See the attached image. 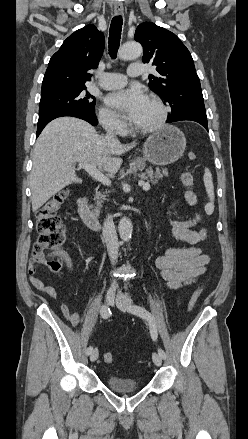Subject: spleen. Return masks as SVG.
<instances>
[{
	"instance_id": "1",
	"label": "spleen",
	"mask_w": 248,
	"mask_h": 439,
	"mask_svg": "<svg viewBox=\"0 0 248 439\" xmlns=\"http://www.w3.org/2000/svg\"><path fill=\"white\" fill-rule=\"evenodd\" d=\"M203 181L208 198L210 200V202L205 206V210L208 213H212L214 210V186H213L212 174L208 168H205L204 170Z\"/></svg>"
}]
</instances>
